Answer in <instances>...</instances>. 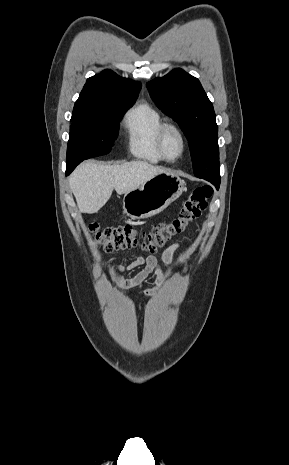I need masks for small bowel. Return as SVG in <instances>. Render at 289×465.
<instances>
[{
	"label": "small bowel",
	"instance_id": "c3829d8e",
	"mask_svg": "<svg viewBox=\"0 0 289 465\" xmlns=\"http://www.w3.org/2000/svg\"><path fill=\"white\" fill-rule=\"evenodd\" d=\"M182 246L181 241H177L169 245L163 252L161 257V262L163 264H170L173 260L175 252ZM142 269L133 277L126 278L123 276V273L126 271H131L138 267ZM116 276L115 281L120 288L125 291H128L140 283H142L149 275L154 274L156 277V287L149 289L146 291L147 296L153 295L165 282L166 275L164 270L162 269L160 261L157 257L150 255V256H143L138 255L131 263L128 265H116Z\"/></svg>",
	"mask_w": 289,
	"mask_h": 465
}]
</instances>
